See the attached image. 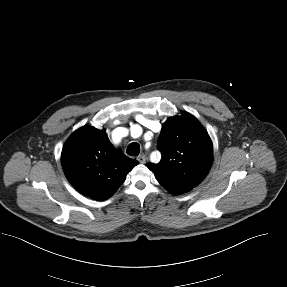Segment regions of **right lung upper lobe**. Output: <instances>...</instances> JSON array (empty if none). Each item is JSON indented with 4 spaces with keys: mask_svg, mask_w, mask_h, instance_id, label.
<instances>
[{
    "mask_svg": "<svg viewBox=\"0 0 287 287\" xmlns=\"http://www.w3.org/2000/svg\"><path fill=\"white\" fill-rule=\"evenodd\" d=\"M61 163L75 189L92 199L105 200L116 192L138 161L115 149L105 130L83 126L64 144Z\"/></svg>",
    "mask_w": 287,
    "mask_h": 287,
    "instance_id": "1",
    "label": "right lung upper lobe"
}]
</instances>
